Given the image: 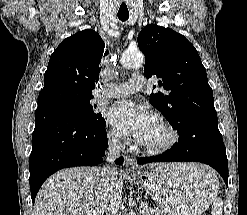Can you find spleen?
Listing matches in <instances>:
<instances>
[{
    "label": "spleen",
    "instance_id": "spleen-1",
    "mask_svg": "<svg viewBox=\"0 0 247 215\" xmlns=\"http://www.w3.org/2000/svg\"><path fill=\"white\" fill-rule=\"evenodd\" d=\"M223 201L220 198L213 199L212 215H222Z\"/></svg>",
    "mask_w": 247,
    "mask_h": 215
}]
</instances>
